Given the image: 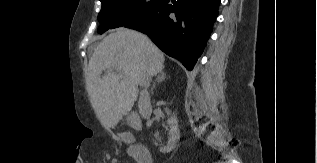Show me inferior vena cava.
I'll return each mask as SVG.
<instances>
[{"label":"inferior vena cava","mask_w":317,"mask_h":163,"mask_svg":"<svg viewBox=\"0 0 317 163\" xmlns=\"http://www.w3.org/2000/svg\"><path fill=\"white\" fill-rule=\"evenodd\" d=\"M150 81H151V76L146 74L142 78V82H141V86L143 87V90H141L140 92L138 106H139L140 114L143 117H149L152 112L150 95L147 90L150 85Z\"/></svg>","instance_id":"1"}]
</instances>
